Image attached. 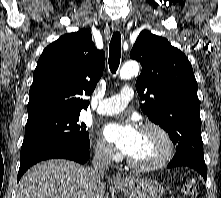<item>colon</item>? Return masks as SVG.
Instances as JSON below:
<instances>
[{
	"mask_svg": "<svg viewBox=\"0 0 221 198\" xmlns=\"http://www.w3.org/2000/svg\"><path fill=\"white\" fill-rule=\"evenodd\" d=\"M182 192L188 198H195L197 195L196 182L193 178L186 179L182 184Z\"/></svg>",
	"mask_w": 221,
	"mask_h": 198,
	"instance_id": "5ec220e1",
	"label": "colon"
}]
</instances>
